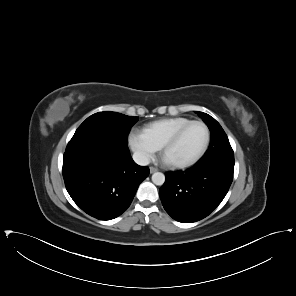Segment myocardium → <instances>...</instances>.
Returning <instances> with one entry per match:
<instances>
[{
  "mask_svg": "<svg viewBox=\"0 0 296 296\" xmlns=\"http://www.w3.org/2000/svg\"><path fill=\"white\" fill-rule=\"evenodd\" d=\"M201 125L204 130H205V141L204 144L201 148V150L191 159L185 160V161H180V162H168L165 159V154L167 152V150L178 140V138L180 137V135L190 126L192 125ZM210 142V131L207 127V125L202 122V121H198V120H193L188 122L187 124H185L184 126H182L181 128H179L177 131H175L164 143V145L162 146V157L163 159H165V161L172 167L175 168H184V167H188L191 166L193 164H195L196 162H198L205 154L208 145Z\"/></svg>",
  "mask_w": 296,
  "mask_h": 296,
  "instance_id": "obj_1",
  "label": "myocardium"
}]
</instances>
